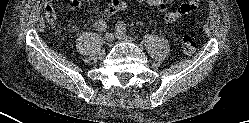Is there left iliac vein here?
Here are the masks:
<instances>
[{
	"mask_svg": "<svg viewBox=\"0 0 249 123\" xmlns=\"http://www.w3.org/2000/svg\"><path fill=\"white\" fill-rule=\"evenodd\" d=\"M116 37L125 42H133V39L131 37L118 30L116 31Z\"/></svg>",
	"mask_w": 249,
	"mask_h": 123,
	"instance_id": "4c4485c4",
	"label": "left iliac vein"
}]
</instances>
